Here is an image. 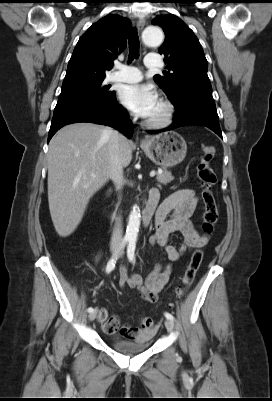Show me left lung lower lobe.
Wrapping results in <instances>:
<instances>
[{"label":"left lung lower lobe","instance_id":"obj_1","mask_svg":"<svg viewBox=\"0 0 272 401\" xmlns=\"http://www.w3.org/2000/svg\"><path fill=\"white\" fill-rule=\"evenodd\" d=\"M174 106L176 112L174 113L173 124L161 131L172 130L185 125H202L210 128L222 138L219 117L213 98L187 97ZM157 132L159 131H151L150 133Z\"/></svg>","mask_w":272,"mask_h":401}]
</instances>
